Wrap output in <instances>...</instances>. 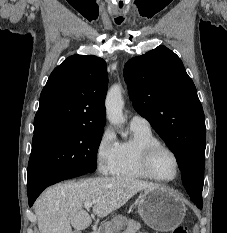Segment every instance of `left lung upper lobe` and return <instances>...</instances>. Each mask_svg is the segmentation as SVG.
Segmentation results:
<instances>
[{
	"instance_id": "obj_1",
	"label": "left lung upper lobe",
	"mask_w": 227,
	"mask_h": 233,
	"mask_svg": "<svg viewBox=\"0 0 227 233\" xmlns=\"http://www.w3.org/2000/svg\"><path fill=\"white\" fill-rule=\"evenodd\" d=\"M124 78L134 108L174 153L190 198L202 201L205 117L182 61L165 46H158L130 59Z\"/></svg>"
}]
</instances>
